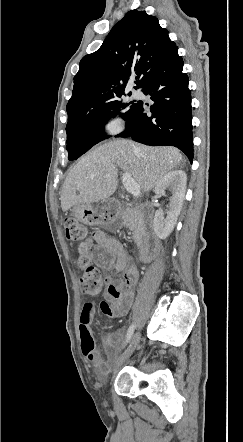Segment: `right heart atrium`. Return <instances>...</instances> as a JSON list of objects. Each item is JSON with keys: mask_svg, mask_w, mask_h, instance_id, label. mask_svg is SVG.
Here are the masks:
<instances>
[{"mask_svg": "<svg viewBox=\"0 0 243 442\" xmlns=\"http://www.w3.org/2000/svg\"><path fill=\"white\" fill-rule=\"evenodd\" d=\"M104 128L109 134H117L124 128V120L119 116H111L105 122Z\"/></svg>", "mask_w": 243, "mask_h": 442, "instance_id": "d8ad5b80", "label": "right heart atrium"}]
</instances>
